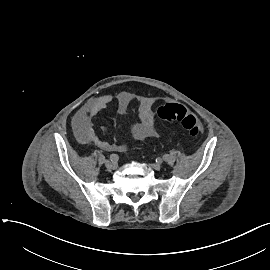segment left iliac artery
Wrapping results in <instances>:
<instances>
[{
  "label": "left iliac artery",
  "mask_w": 270,
  "mask_h": 270,
  "mask_svg": "<svg viewBox=\"0 0 270 270\" xmlns=\"http://www.w3.org/2000/svg\"><path fill=\"white\" fill-rule=\"evenodd\" d=\"M163 160L166 161V162H169V163H171V162L174 161L173 158L170 155H168V154H165L163 156Z\"/></svg>",
  "instance_id": "left-iliac-artery-1"
}]
</instances>
